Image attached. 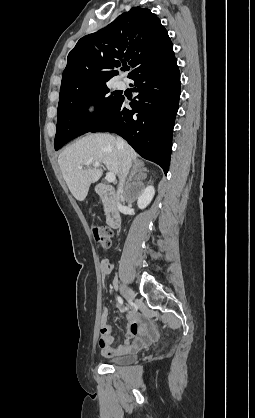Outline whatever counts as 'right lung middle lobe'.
<instances>
[{
	"label": "right lung middle lobe",
	"instance_id": "dd1d6c3e",
	"mask_svg": "<svg viewBox=\"0 0 255 418\" xmlns=\"http://www.w3.org/2000/svg\"><path fill=\"white\" fill-rule=\"evenodd\" d=\"M106 83L94 84L60 93L57 110L55 150L70 140L89 132L112 112L120 95L113 92ZM96 105L94 113H88V106Z\"/></svg>",
	"mask_w": 255,
	"mask_h": 418
}]
</instances>
